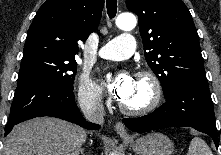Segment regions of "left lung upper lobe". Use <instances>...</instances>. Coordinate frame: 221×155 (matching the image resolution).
Wrapping results in <instances>:
<instances>
[{
    "label": "left lung upper lobe",
    "instance_id": "left-lung-upper-lobe-1",
    "mask_svg": "<svg viewBox=\"0 0 221 155\" xmlns=\"http://www.w3.org/2000/svg\"><path fill=\"white\" fill-rule=\"evenodd\" d=\"M139 19L145 59L168 97L181 82L206 77L199 37L181 0H126Z\"/></svg>",
    "mask_w": 221,
    "mask_h": 155
}]
</instances>
